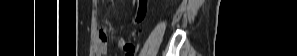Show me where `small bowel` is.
<instances>
[{"label":"small bowel","mask_w":297,"mask_h":56,"mask_svg":"<svg viewBox=\"0 0 297 56\" xmlns=\"http://www.w3.org/2000/svg\"><path fill=\"white\" fill-rule=\"evenodd\" d=\"M120 46L124 48L126 56H133V46L125 43V41H120ZM108 51V44L106 38L100 36L99 42L97 44L96 53L98 56L106 55Z\"/></svg>","instance_id":"c3829d8e"}]
</instances>
